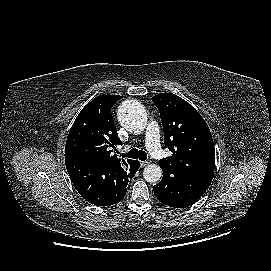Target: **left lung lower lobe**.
Listing matches in <instances>:
<instances>
[{
    "instance_id": "obj_1",
    "label": "left lung lower lobe",
    "mask_w": 271,
    "mask_h": 271,
    "mask_svg": "<svg viewBox=\"0 0 271 271\" xmlns=\"http://www.w3.org/2000/svg\"><path fill=\"white\" fill-rule=\"evenodd\" d=\"M153 190L161 203L174 208H184L194 204L207 187L180 172L163 170V178Z\"/></svg>"
}]
</instances>
